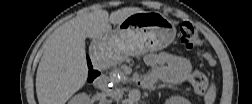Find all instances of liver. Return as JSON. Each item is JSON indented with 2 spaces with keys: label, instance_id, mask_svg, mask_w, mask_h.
Here are the masks:
<instances>
[{
  "label": "liver",
  "instance_id": "1",
  "mask_svg": "<svg viewBox=\"0 0 252 104\" xmlns=\"http://www.w3.org/2000/svg\"><path fill=\"white\" fill-rule=\"evenodd\" d=\"M126 7L110 14L96 9L83 13L57 28L47 41L36 74V93L40 104H64L87 80L85 39H97L111 32L128 16L142 12Z\"/></svg>",
  "mask_w": 252,
  "mask_h": 104
}]
</instances>
